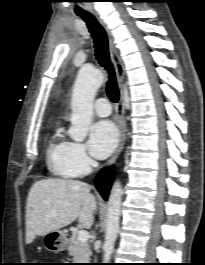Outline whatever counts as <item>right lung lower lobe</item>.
<instances>
[{
    "label": "right lung lower lobe",
    "instance_id": "1",
    "mask_svg": "<svg viewBox=\"0 0 205 265\" xmlns=\"http://www.w3.org/2000/svg\"><path fill=\"white\" fill-rule=\"evenodd\" d=\"M113 169L103 168L95 179V185L102 197L107 200L113 181Z\"/></svg>",
    "mask_w": 205,
    "mask_h": 265
}]
</instances>
